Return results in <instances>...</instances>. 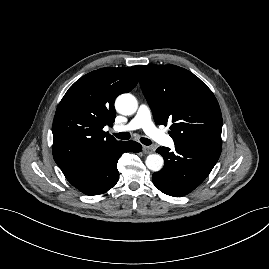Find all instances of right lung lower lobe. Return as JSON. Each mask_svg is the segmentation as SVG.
<instances>
[{"instance_id": "98d812e1", "label": "right lung lower lobe", "mask_w": 269, "mask_h": 269, "mask_svg": "<svg viewBox=\"0 0 269 269\" xmlns=\"http://www.w3.org/2000/svg\"><path fill=\"white\" fill-rule=\"evenodd\" d=\"M135 141L120 142L102 152L76 170L65 174L67 180L86 195H99L111 189L119 179L117 162L124 152H140Z\"/></svg>"}]
</instances>
